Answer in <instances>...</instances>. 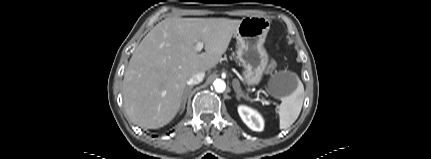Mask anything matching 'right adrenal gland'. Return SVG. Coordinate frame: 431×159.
Masks as SVG:
<instances>
[{"label":"right adrenal gland","mask_w":431,"mask_h":159,"mask_svg":"<svg viewBox=\"0 0 431 159\" xmlns=\"http://www.w3.org/2000/svg\"><path fill=\"white\" fill-rule=\"evenodd\" d=\"M193 88V86H189L185 89L183 97H182V103H181V111L180 114L183 113V111L185 110V105H186V101H187V95H188V91H190Z\"/></svg>","instance_id":"right-adrenal-gland-1"}]
</instances>
